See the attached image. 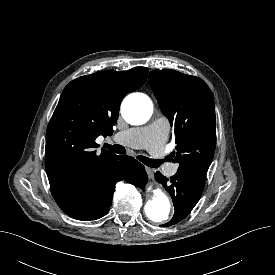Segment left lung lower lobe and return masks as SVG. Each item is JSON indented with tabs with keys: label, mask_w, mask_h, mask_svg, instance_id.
Wrapping results in <instances>:
<instances>
[{
	"label": "left lung lower lobe",
	"mask_w": 275,
	"mask_h": 275,
	"mask_svg": "<svg viewBox=\"0 0 275 275\" xmlns=\"http://www.w3.org/2000/svg\"><path fill=\"white\" fill-rule=\"evenodd\" d=\"M155 179L169 192L175 207V214L171 221L162 226H171L184 219L197 204L205 185V180L181 172H177L168 179L158 171L155 173Z\"/></svg>",
	"instance_id": "0a47b994"
}]
</instances>
